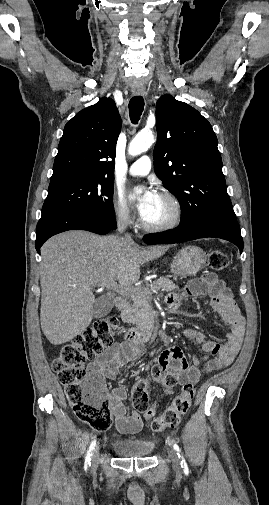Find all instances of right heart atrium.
<instances>
[{"label": "right heart atrium", "instance_id": "obj_1", "mask_svg": "<svg viewBox=\"0 0 269 505\" xmlns=\"http://www.w3.org/2000/svg\"><path fill=\"white\" fill-rule=\"evenodd\" d=\"M112 210L114 217L119 224L129 227L134 223V214L122 194H114L112 199Z\"/></svg>", "mask_w": 269, "mask_h": 505}]
</instances>
